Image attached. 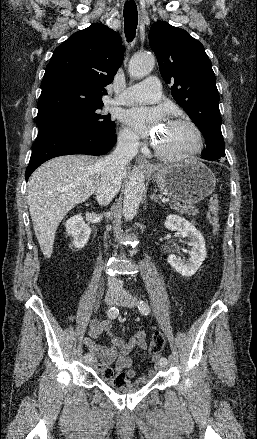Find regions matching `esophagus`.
<instances>
[{
	"mask_svg": "<svg viewBox=\"0 0 257 439\" xmlns=\"http://www.w3.org/2000/svg\"><path fill=\"white\" fill-rule=\"evenodd\" d=\"M137 163L145 170H153L154 166L143 156H138L136 158Z\"/></svg>",
	"mask_w": 257,
	"mask_h": 439,
	"instance_id": "1",
	"label": "esophagus"
}]
</instances>
